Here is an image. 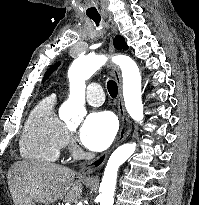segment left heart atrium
I'll return each mask as SVG.
<instances>
[{"instance_id":"obj_1","label":"left heart atrium","mask_w":199,"mask_h":205,"mask_svg":"<svg viewBox=\"0 0 199 205\" xmlns=\"http://www.w3.org/2000/svg\"><path fill=\"white\" fill-rule=\"evenodd\" d=\"M117 132L115 117L107 111L89 114L79 131L81 143L92 151H102L110 146Z\"/></svg>"}]
</instances>
